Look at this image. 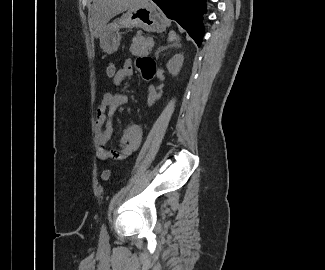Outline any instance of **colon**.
Segmentation results:
<instances>
[{"instance_id":"5ec220e1","label":"colon","mask_w":325,"mask_h":270,"mask_svg":"<svg viewBox=\"0 0 325 270\" xmlns=\"http://www.w3.org/2000/svg\"><path fill=\"white\" fill-rule=\"evenodd\" d=\"M117 67L114 63H108L106 68H105V74H106V77L109 79V80H112L114 81L116 75H117ZM111 171L106 169L102 172L101 174V178L102 180L104 181H107L111 178Z\"/></svg>"}]
</instances>
